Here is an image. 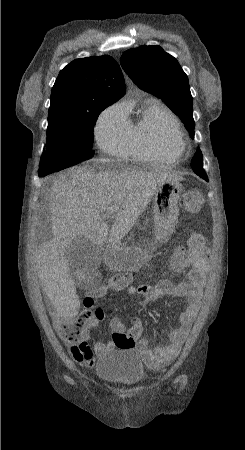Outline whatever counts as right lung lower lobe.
<instances>
[{"label":"right lung lower lobe","instance_id":"98d812e1","mask_svg":"<svg viewBox=\"0 0 245 450\" xmlns=\"http://www.w3.org/2000/svg\"><path fill=\"white\" fill-rule=\"evenodd\" d=\"M46 175H47V174H45V173L39 174L40 177H44V176H46Z\"/></svg>","mask_w":245,"mask_h":450}]
</instances>
